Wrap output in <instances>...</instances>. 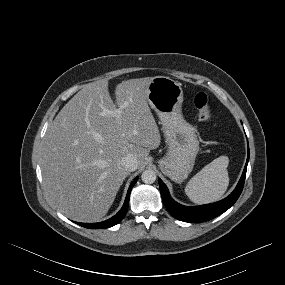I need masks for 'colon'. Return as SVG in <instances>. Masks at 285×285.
<instances>
[{
    "mask_svg": "<svg viewBox=\"0 0 285 285\" xmlns=\"http://www.w3.org/2000/svg\"><path fill=\"white\" fill-rule=\"evenodd\" d=\"M194 105L197 110L198 119L201 122H210L213 118V112L210 104V100L206 93L199 92L194 98Z\"/></svg>",
    "mask_w": 285,
    "mask_h": 285,
    "instance_id": "5ec220e1",
    "label": "colon"
}]
</instances>
